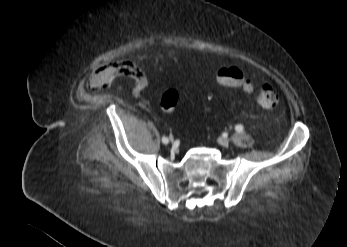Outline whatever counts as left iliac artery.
Here are the masks:
<instances>
[{"label": "left iliac artery", "mask_w": 347, "mask_h": 247, "mask_svg": "<svg viewBox=\"0 0 347 247\" xmlns=\"http://www.w3.org/2000/svg\"><path fill=\"white\" fill-rule=\"evenodd\" d=\"M235 130H236L237 132H239V133H240V132H243L244 127H243V125L238 124V125H236Z\"/></svg>", "instance_id": "obj_1"}]
</instances>
